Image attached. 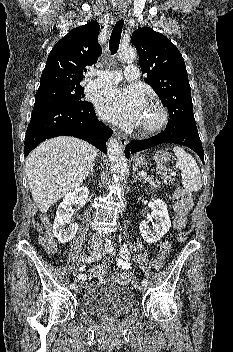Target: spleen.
<instances>
[{
  "instance_id": "spleen-1",
  "label": "spleen",
  "mask_w": 233,
  "mask_h": 352,
  "mask_svg": "<svg viewBox=\"0 0 233 352\" xmlns=\"http://www.w3.org/2000/svg\"><path fill=\"white\" fill-rule=\"evenodd\" d=\"M173 151L177 157L176 167L182 173V184L186 191H198L202 187L201 173L195 159L181 147L175 146Z\"/></svg>"
}]
</instances>
